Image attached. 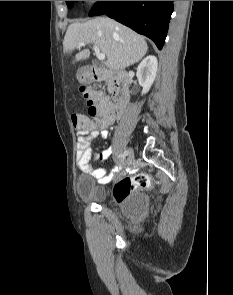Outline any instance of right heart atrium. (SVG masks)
I'll list each match as a JSON object with an SVG mask.
<instances>
[{
	"mask_svg": "<svg viewBox=\"0 0 233 295\" xmlns=\"http://www.w3.org/2000/svg\"><path fill=\"white\" fill-rule=\"evenodd\" d=\"M89 3H96L97 1H88Z\"/></svg>",
	"mask_w": 233,
	"mask_h": 295,
	"instance_id": "1",
	"label": "right heart atrium"
}]
</instances>
